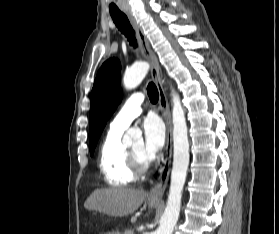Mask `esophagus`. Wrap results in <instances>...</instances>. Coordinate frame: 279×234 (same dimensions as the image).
Segmentation results:
<instances>
[{
  "instance_id": "obj_1",
  "label": "esophagus",
  "mask_w": 279,
  "mask_h": 234,
  "mask_svg": "<svg viewBox=\"0 0 279 234\" xmlns=\"http://www.w3.org/2000/svg\"><path fill=\"white\" fill-rule=\"evenodd\" d=\"M126 16L128 17L132 27L136 31L140 49L146 58L149 60L151 64V76L153 81L155 82L158 94H159V108L162 112V116L165 120L167 127V139H166V153L165 157L162 161V164L158 171V177L156 183L151 188L149 192V198L153 200H160L164 194V190L168 181L169 173H170V165H171V157H172V120L171 113L168 104V100L163 88L161 74H160V65L158 59L150 47V44L144 34L142 28L136 22L134 17L129 11H125Z\"/></svg>"
}]
</instances>
